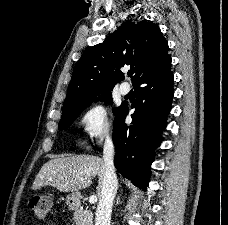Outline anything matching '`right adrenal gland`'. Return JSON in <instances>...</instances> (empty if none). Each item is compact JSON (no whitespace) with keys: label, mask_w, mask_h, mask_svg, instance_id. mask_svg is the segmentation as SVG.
<instances>
[{"label":"right adrenal gland","mask_w":228,"mask_h":225,"mask_svg":"<svg viewBox=\"0 0 228 225\" xmlns=\"http://www.w3.org/2000/svg\"><path fill=\"white\" fill-rule=\"evenodd\" d=\"M116 205H121L120 197H117V199H116Z\"/></svg>","instance_id":"1"}]
</instances>
